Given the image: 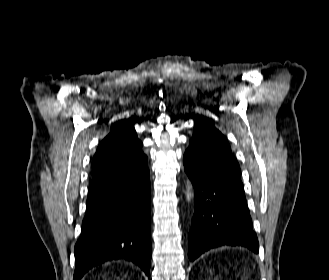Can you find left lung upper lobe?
<instances>
[{
    "label": "left lung upper lobe",
    "instance_id": "left-lung-upper-lobe-1",
    "mask_svg": "<svg viewBox=\"0 0 329 280\" xmlns=\"http://www.w3.org/2000/svg\"><path fill=\"white\" fill-rule=\"evenodd\" d=\"M183 159L197 173L219 180L222 178L221 159L237 163L226 138L204 119L196 120L193 136Z\"/></svg>",
    "mask_w": 329,
    "mask_h": 280
}]
</instances>
